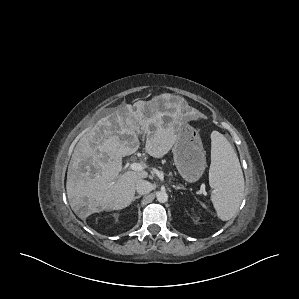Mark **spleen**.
I'll return each mask as SVG.
<instances>
[{"instance_id": "1", "label": "spleen", "mask_w": 299, "mask_h": 299, "mask_svg": "<svg viewBox=\"0 0 299 299\" xmlns=\"http://www.w3.org/2000/svg\"><path fill=\"white\" fill-rule=\"evenodd\" d=\"M209 184L214 189L211 200L217 216L223 221L230 220L242 202L244 178L234 148L217 131L211 134Z\"/></svg>"}]
</instances>
